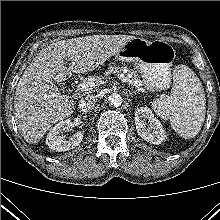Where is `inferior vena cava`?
<instances>
[{"label": "inferior vena cava", "mask_w": 220, "mask_h": 220, "mask_svg": "<svg viewBox=\"0 0 220 220\" xmlns=\"http://www.w3.org/2000/svg\"><path fill=\"white\" fill-rule=\"evenodd\" d=\"M98 96L94 94H89L82 98L79 101V109L83 112H89L90 110H93L96 106V103L98 102Z\"/></svg>", "instance_id": "1"}]
</instances>
